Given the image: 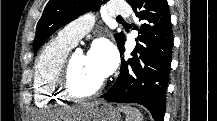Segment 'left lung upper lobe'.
Here are the masks:
<instances>
[{"mask_svg":"<svg viewBox=\"0 0 217 121\" xmlns=\"http://www.w3.org/2000/svg\"><path fill=\"white\" fill-rule=\"evenodd\" d=\"M107 0H49L37 23L34 52L60 27L89 11H96ZM128 1V0H126ZM123 33L115 35L119 44Z\"/></svg>","mask_w":217,"mask_h":121,"instance_id":"5c2ea615","label":"left lung upper lobe"}]
</instances>
